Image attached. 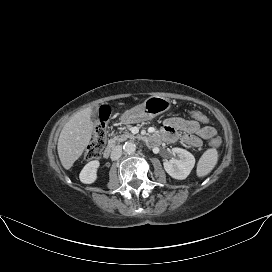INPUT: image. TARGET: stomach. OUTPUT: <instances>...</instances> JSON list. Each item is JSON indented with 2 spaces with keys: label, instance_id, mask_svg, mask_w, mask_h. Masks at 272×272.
<instances>
[{
  "label": "stomach",
  "instance_id": "obj_1",
  "mask_svg": "<svg viewBox=\"0 0 272 272\" xmlns=\"http://www.w3.org/2000/svg\"><path fill=\"white\" fill-rule=\"evenodd\" d=\"M171 105L172 102L168 98L150 96L142 104L125 111L120 119L123 124H134L151 120L169 110Z\"/></svg>",
  "mask_w": 272,
  "mask_h": 272
}]
</instances>
